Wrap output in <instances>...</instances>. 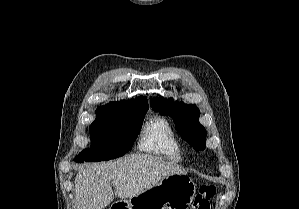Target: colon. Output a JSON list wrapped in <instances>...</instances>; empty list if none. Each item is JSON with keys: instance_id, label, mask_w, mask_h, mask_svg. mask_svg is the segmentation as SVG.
<instances>
[{"instance_id": "1", "label": "colon", "mask_w": 299, "mask_h": 209, "mask_svg": "<svg viewBox=\"0 0 299 209\" xmlns=\"http://www.w3.org/2000/svg\"><path fill=\"white\" fill-rule=\"evenodd\" d=\"M216 192L217 189L214 185H201L194 199L193 209H210V202L215 197Z\"/></svg>"}]
</instances>
